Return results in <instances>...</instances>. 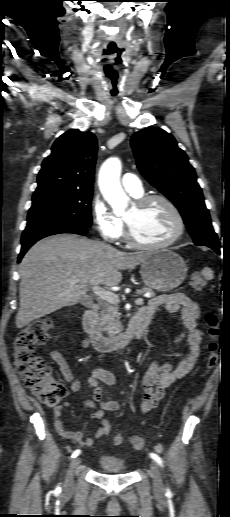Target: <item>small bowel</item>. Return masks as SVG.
<instances>
[{"mask_svg": "<svg viewBox=\"0 0 230 517\" xmlns=\"http://www.w3.org/2000/svg\"><path fill=\"white\" fill-rule=\"evenodd\" d=\"M160 306H165L167 310L174 314H179L182 318L186 333L179 339H185L189 350L176 368H172L168 362H152L142 378V401L140 411L148 413L154 410L164 398L166 389L185 377L194 367L199 356L200 343L203 332L198 328L200 320V309L197 303L186 294L178 292L173 294H163L152 298L144 309L152 313ZM87 340L82 341L83 347H88ZM52 360L58 365L64 379L69 383L72 392H77L81 388V382L77 380L66 359L58 351L50 353ZM102 384L109 386L117 385L115 375L107 369L95 368L86 379V385L91 390L90 398L83 400V405L92 412L91 419L101 420V426L94 432L92 437H85L83 430L65 428L62 421V406H57L53 410L54 425L57 433L68 440L80 443L82 446H91L94 441L106 436L110 432V423L104 419L105 412L118 411L120 404L114 400H107L103 396ZM63 406H67L64 403ZM119 441L113 443L120 445L124 441L122 434H116ZM113 436V437H114ZM132 439V437H131Z\"/></svg>", "mask_w": 230, "mask_h": 517, "instance_id": "1", "label": "small bowel"}]
</instances>
